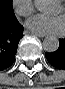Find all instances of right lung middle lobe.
<instances>
[{"instance_id":"dd1d6c3e","label":"right lung middle lobe","mask_w":65,"mask_h":89,"mask_svg":"<svg viewBox=\"0 0 65 89\" xmlns=\"http://www.w3.org/2000/svg\"><path fill=\"white\" fill-rule=\"evenodd\" d=\"M0 18H16L12 0H0Z\"/></svg>"}]
</instances>
